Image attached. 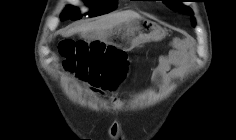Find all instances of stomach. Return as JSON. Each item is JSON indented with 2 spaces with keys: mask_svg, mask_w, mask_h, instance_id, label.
I'll list each match as a JSON object with an SVG mask.
<instances>
[{
  "mask_svg": "<svg viewBox=\"0 0 236 140\" xmlns=\"http://www.w3.org/2000/svg\"><path fill=\"white\" fill-rule=\"evenodd\" d=\"M101 30L113 31H90V41H104V44H114L126 51L165 36V31L157 23L143 17L130 18L120 25H101Z\"/></svg>",
  "mask_w": 236,
  "mask_h": 140,
  "instance_id": "obj_1",
  "label": "stomach"
}]
</instances>
